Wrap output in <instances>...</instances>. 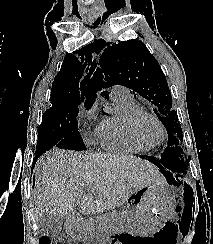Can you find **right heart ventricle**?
Returning a JSON list of instances; mask_svg holds the SVG:
<instances>
[{"mask_svg":"<svg viewBox=\"0 0 213 244\" xmlns=\"http://www.w3.org/2000/svg\"><path fill=\"white\" fill-rule=\"evenodd\" d=\"M116 112L105 117L97 126L94 133L95 141L104 150L117 153H143L150 148L135 141L128 132V118L141 110L133 97L112 98Z\"/></svg>","mask_w":213,"mask_h":244,"instance_id":"right-heart-ventricle-1","label":"right heart ventricle"}]
</instances>
